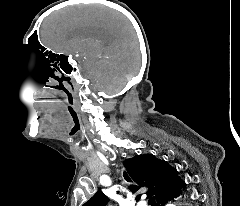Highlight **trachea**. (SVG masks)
Masks as SVG:
<instances>
[{
  "mask_svg": "<svg viewBox=\"0 0 240 206\" xmlns=\"http://www.w3.org/2000/svg\"><path fill=\"white\" fill-rule=\"evenodd\" d=\"M123 176H124L125 180H127L128 182L131 181V179L129 178V176L127 175L126 172L123 173ZM148 204H150L151 206H156L155 198L154 197H150L149 201H148Z\"/></svg>",
  "mask_w": 240,
  "mask_h": 206,
  "instance_id": "trachea-1",
  "label": "trachea"
}]
</instances>
